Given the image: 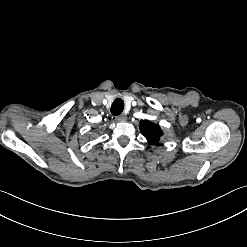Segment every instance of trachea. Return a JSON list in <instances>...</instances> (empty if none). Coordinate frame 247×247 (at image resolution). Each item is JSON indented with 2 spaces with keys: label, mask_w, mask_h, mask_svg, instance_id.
Returning a JSON list of instances; mask_svg holds the SVG:
<instances>
[{
  "label": "trachea",
  "mask_w": 247,
  "mask_h": 247,
  "mask_svg": "<svg viewBox=\"0 0 247 247\" xmlns=\"http://www.w3.org/2000/svg\"><path fill=\"white\" fill-rule=\"evenodd\" d=\"M124 109V101L121 98L114 100L111 106V112L113 115L121 114Z\"/></svg>",
  "instance_id": "1"
}]
</instances>
